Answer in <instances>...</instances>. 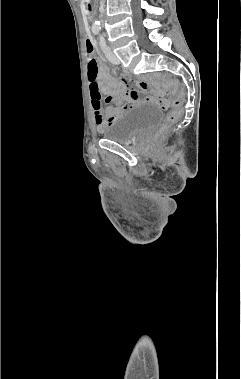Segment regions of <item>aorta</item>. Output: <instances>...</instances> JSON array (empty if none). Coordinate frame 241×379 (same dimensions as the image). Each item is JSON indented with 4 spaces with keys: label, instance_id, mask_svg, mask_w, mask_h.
Segmentation results:
<instances>
[{
    "label": "aorta",
    "instance_id": "762f6f07",
    "mask_svg": "<svg viewBox=\"0 0 241 379\" xmlns=\"http://www.w3.org/2000/svg\"><path fill=\"white\" fill-rule=\"evenodd\" d=\"M93 26L95 28H100V22L98 20H95L94 23H93Z\"/></svg>",
    "mask_w": 241,
    "mask_h": 379
}]
</instances>
